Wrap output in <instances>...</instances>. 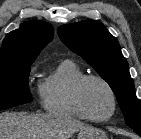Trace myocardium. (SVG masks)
I'll list each match as a JSON object with an SVG mask.
<instances>
[{
	"label": "myocardium",
	"instance_id": "obj_1",
	"mask_svg": "<svg viewBox=\"0 0 141 139\" xmlns=\"http://www.w3.org/2000/svg\"><path fill=\"white\" fill-rule=\"evenodd\" d=\"M98 81L100 83H102L107 90L110 93L111 96V100H112V109L111 112L108 116L104 117V118H95L93 116H91L88 111L85 108L84 102H83V89L84 86L86 85L87 82L89 81ZM73 99H74V103L77 107V109L79 110V112L82 114V116L92 122H96V123H103L106 122L108 120H110L117 109V96L116 93L112 87V85L102 76L99 75H94V74H88V75H84L83 77H81L74 85L73 88Z\"/></svg>",
	"mask_w": 141,
	"mask_h": 139
}]
</instances>
